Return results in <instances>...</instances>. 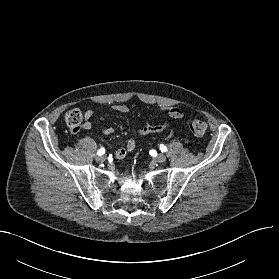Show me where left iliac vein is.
Segmentation results:
<instances>
[{"instance_id":"left-iliac-vein-1","label":"left iliac vein","mask_w":279,"mask_h":279,"mask_svg":"<svg viewBox=\"0 0 279 279\" xmlns=\"http://www.w3.org/2000/svg\"><path fill=\"white\" fill-rule=\"evenodd\" d=\"M155 160L159 163H163L166 161V156L164 154L160 153L156 156Z\"/></svg>"}]
</instances>
